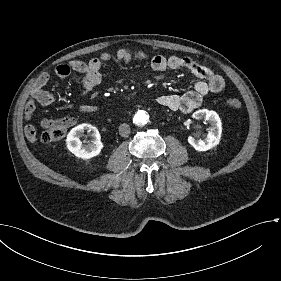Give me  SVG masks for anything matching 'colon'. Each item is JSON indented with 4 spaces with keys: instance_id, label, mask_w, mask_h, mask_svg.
<instances>
[{
    "instance_id": "1",
    "label": "colon",
    "mask_w": 281,
    "mask_h": 281,
    "mask_svg": "<svg viewBox=\"0 0 281 281\" xmlns=\"http://www.w3.org/2000/svg\"><path fill=\"white\" fill-rule=\"evenodd\" d=\"M227 105L231 108H239L241 102L238 98L230 97L227 99ZM70 126V120L68 118H64L58 121L52 122L45 130V143H51L54 141H58L62 139L68 128Z\"/></svg>"
}]
</instances>
